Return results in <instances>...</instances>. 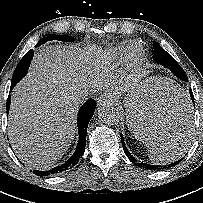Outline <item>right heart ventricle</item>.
Instances as JSON below:
<instances>
[{
    "label": "right heart ventricle",
    "mask_w": 203,
    "mask_h": 203,
    "mask_svg": "<svg viewBox=\"0 0 203 203\" xmlns=\"http://www.w3.org/2000/svg\"><path fill=\"white\" fill-rule=\"evenodd\" d=\"M130 49H131L130 43H122L120 45H117L112 50V58L122 62L127 58Z\"/></svg>",
    "instance_id": "e07e8e85"
}]
</instances>
